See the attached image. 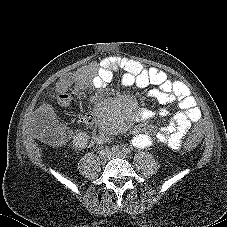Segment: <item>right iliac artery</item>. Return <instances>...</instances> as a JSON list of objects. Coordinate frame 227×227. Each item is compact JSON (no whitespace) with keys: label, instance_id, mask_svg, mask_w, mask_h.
Masks as SVG:
<instances>
[{"label":"right iliac artery","instance_id":"obj_1","mask_svg":"<svg viewBox=\"0 0 227 227\" xmlns=\"http://www.w3.org/2000/svg\"><path fill=\"white\" fill-rule=\"evenodd\" d=\"M111 150H112L113 153H115V152H117L119 150V147L118 146H113L111 148Z\"/></svg>","mask_w":227,"mask_h":227}]
</instances>
